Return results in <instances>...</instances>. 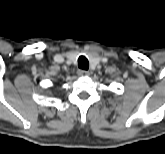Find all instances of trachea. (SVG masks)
<instances>
[{
	"instance_id": "3493384b",
	"label": "trachea",
	"mask_w": 165,
	"mask_h": 154,
	"mask_svg": "<svg viewBox=\"0 0 165 154\" xmlns=\"http://www.w3.org/2000/svg\"><path fill=\"white\" fill-rule=\"evenodd\" d=\"M78 66L80 69L88 70V68H89L88 59L85 56H80L78 58Z\"/></svg>"
}]
</instances>
